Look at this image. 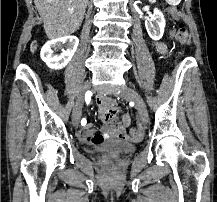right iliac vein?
<instances>
[{
    "label": "right iliac vein",
    "instance_id": "1",
    "mask_svg": "<svg viewBox=\"0 0 217 202\" xmlns=\"http://www.w3.org/2000/svg\"><path fill=\"white\" fill-rule=\"evenodd\" d=\"M91 87V82L90 81H86L78 96H77V100H76V104H75V107H74V110H73V113H72V124L74 126H78V123L80 121V118H81V110H82V106H83V100H84V95L87 91H89Z\"/></svg>",
    "mask_w": 217,
    "mask_h": 202
}]
</instances>
